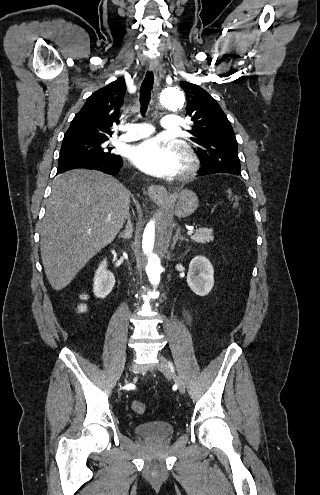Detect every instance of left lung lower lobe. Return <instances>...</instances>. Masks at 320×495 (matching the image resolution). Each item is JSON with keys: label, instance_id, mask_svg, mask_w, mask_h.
Returning <instances> with one entry per match:
<instances>
[{"label": "left lung lower lobe", "instance_id": "left-lung-lower-lobe-1", "mask_svg": "<svg viewBox=\"0 0 320 495\" xmlns=\"http://www.w3.org/2000/svg\"><path fill=\"white\" fill-rule=\"evenodd\" d=\"M197 173L199 174V176H205L214 173H231V174L239 175L241 174V171L237 172L226 168H206L205 166H202V168L199 169Z\"/></svg>", "mask_w": 320, "mask_h": 495}]
</instances>
